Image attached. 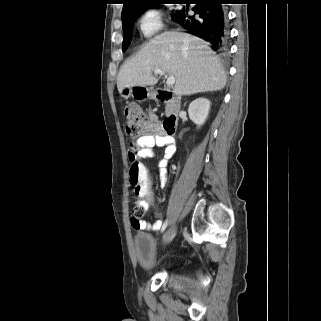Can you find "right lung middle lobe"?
<instances>
[{"label": "right lung middle lobe", "instance_id": "right-lung-middle-lobe-1", "mask_svg": "<svg viewBox=\"0 0 321 321\" xmlns=\"http://www.w3.org/2000/svg\"><path fill=\"white\" fill-rule=\"evenodd\" d=\"M165 3V1L159 2L155 5L148 6L138 12L130 13L127 15L122 16V26H123V46L122 50L123 52L126 51L128 46L130 45L131 42V37H132V30H133V25L136 19L144 13L147 9L149 8H159L160 4Z\"/></svg>", "mask_w": 321, "mask_h": 321}]
</instances>
